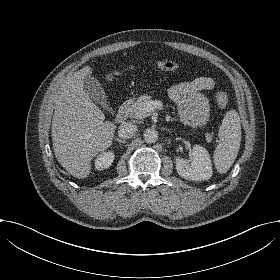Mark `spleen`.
Here are the masks:
<instances>
[{"instance_id": "3e777b00", "label": "spleen", "mask_w": 280, "mask_h": 280, "mask_svg": "<svg viewBox=\"0 0 280 280\" xmlns=\"http://www.w3.org/2000/svg\"><path fill=\"white\" fill-rule=\"evenodd\" d=\"M219 144L214 151L215 168L220 174L226 173L234 163L240 149L241 124L238 113L229 111L218 132Z\"/></svg>"}]
</instances>
